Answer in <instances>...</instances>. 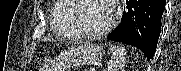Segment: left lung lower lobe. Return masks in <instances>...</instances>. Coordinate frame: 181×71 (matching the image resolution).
I'll use <instances>...</instances> for the list:
<instances>
[{"instance_id": "1", "label": "left lung lower lobe", "mask_w": 181, "mask_h": 71, "mask_svg": "<svg viewBox=\"0 0 181 71\" xmlns=\"http://www.w3.org/2000/svg\"><path fill=\"white\" fill-rule=\"evenodd\" d=\"M166 0H126L121 24L108 39L142 50L148 60L156 51Z\"/></svg>"}]
</instances>
